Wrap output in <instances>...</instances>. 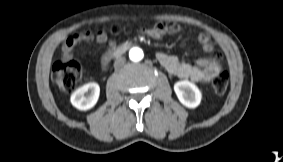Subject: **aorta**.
Returning <instances> with one entry per match:
<instances>
[{"label":"aorta","instance_id":"1","mask_svg":"<svg viewBox=\"0 0 283 162\" xmlns=\"http://www.w3.org/2000/svg\"><path fill=\"white\" fill-rule=\"evenodd\" d=\"M143 51L138 47H133L129 51V58L131 61L138 62L143 59Z\"/></svg>","mask_w":283,"mask_h":162}]
</instances>
